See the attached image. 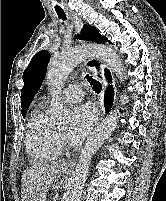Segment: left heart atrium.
Listing matches in <instances>:
<instances>
[{
    "label": "left heart atrium",
    "instance_id": "39dd6f15",
    "mask_svg": "<svg viewBox=\"0 0 166 201\" xmlns=\"http://www.w3.org/2000/svg\"><path fill=\"white\" fill-rule=\"evenodd\" d=\"M97 120L93 106L83 104L74 108L71 114V124L68 135L72 143H80L90 132Z\"/></svg>",
    "mask_w": 166,
    "mask_h": 201
}]
</instances>
